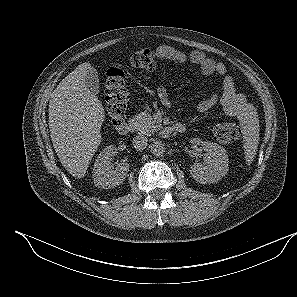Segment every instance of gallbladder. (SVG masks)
<instances>
[{
  "mask_svg": "<svg viewBox=\"0 0 297 297\" xmlns=\"http://www.w3.org/2000/svg\"><path fill=\"white\" fill-rule=\"evenodd\" d=\"M85 87L94 96L99 93V78L98 72L94 67L88 69L87 75L84 78Z\"/></svg>",
  "mask_w": 297,
  "mask_h": 297,
  "instance_id": "gallbladder-1",
  "label": "gallbladder"
}]
</instances>
